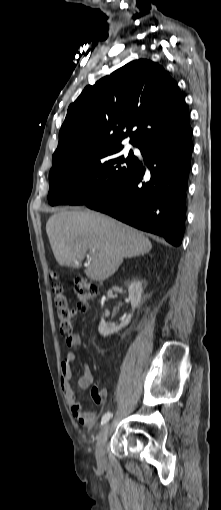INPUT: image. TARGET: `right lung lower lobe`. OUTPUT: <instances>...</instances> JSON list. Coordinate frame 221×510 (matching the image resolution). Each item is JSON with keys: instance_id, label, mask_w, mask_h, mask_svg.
I'll return each mask as SVG.
<instances>
[{"instance_id": "1", "label": "right lung lower lobe", "mask_w": 221, "mask_h": 510, "mask_svg": "<svg viewBox=\"0 0 221 510\" xmlns=\"http://www.w3.org/2000/svg\"><path fill=\"white\" fill-rule=\"evenodd\" d=\"M140 150L147 169L139 162L124 183L85 205L177 247L185 227L192 129L152 139Z\"/></svg>"}]
</instances>
